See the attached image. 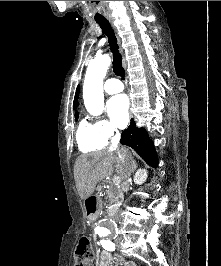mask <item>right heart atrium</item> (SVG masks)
<instances>
[{"label":"right heart atrium","instance_id":"right-heart-atrium-1","mask_svg":"<svg viewBox=\"0 0 221 266\" xmlns=\"http://www.w3.org/2000/svg\"><path fill=\"white\" fill-rule=\"evenodd\" d=\"M99 134L105 139L110 140L118 133L116 127L106 119H99L95 123Z\"/></svg>","mask_w":221,"mask_h":266}]
</instances>
